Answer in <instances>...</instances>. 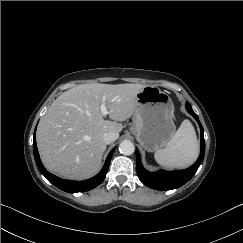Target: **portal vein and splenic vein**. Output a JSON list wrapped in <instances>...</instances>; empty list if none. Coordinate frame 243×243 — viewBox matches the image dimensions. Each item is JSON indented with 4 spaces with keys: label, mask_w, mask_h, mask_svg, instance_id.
Wrapping results in <instances>:
<instances>
[{
    "label": "portal vein and splenic vein",
    "mask_w": 243,
    "mask_h": 243,
    "mask_svg": "<svg viewBox=\"0 0 243 243\" xmlns=\"http://www.w3.org/2000/svg\"><path fill=\"white\" fill-rule=\"evenodd\" d=\"M100 110L102 112V114L105 116L108 114V110H107V107H106V104L103 103L101 106H100Z\"/></svg>",
    "instance_id": "portal-vein-and-splenic-vein-1"
}]
</instances>
